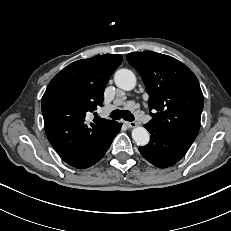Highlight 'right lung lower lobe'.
I'll use <instances>...</instances> for the list:
<instances>
[{
  "label": "right lung lower lobe",
  "instance_id": "98d812e1",
  "mask_svg": "<svg viewBox=\"0 0 231 231\" xmlns=\"http://www.w3.org/2000/svg\"><path fill=\"white\" fill-rule=\"evenodd\" d=\"M121 129V124L117 123L116 127L114 128L111 137L109 138V140L103 144L95 153L94 155L89 159V161L82 166V168H87L89 166L94 165L95 163H97L106 153V151L108 150V148L111 145V142L113 140V138L115 137V135L120 131Z\"/></svg>",
  "mask_w": 231,
  "mask_h": 231
}]
</instances>
